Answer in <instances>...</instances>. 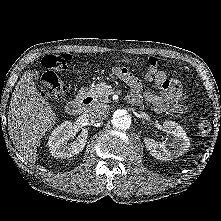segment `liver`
I'll return each mask as SVG.
<instances>
[{
	"instance_id": "liver-1",
	"label": "liver",
	"mask_w": 221,
	"mask_h": 221,
	"mask_svg": "<svg viewBox=\"0 0 221 221\" xmlns=\"http://www.w3.org/2000/svg\"><path fill=\"white\" fill-rule=\"evenodd\" d=\"M56 119L49 103L37 91L31 71H25L10 101L8 132L15 148L26 160L35 163L37 147Z\"/></svg>"
}]
</instances>
